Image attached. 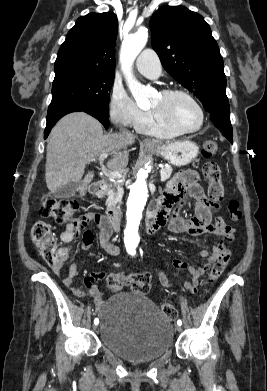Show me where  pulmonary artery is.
<instances>
[{
	"mask_svg": "<svg viewBox=\"0 0 267 391\" xmlns=\"http://www.w3.org/2000/svg\"><path fill=\"white\" fill-rule=\"evenodd\" d=\"M136 68L147 78H158L161 73V63L157 53L152 49L143 50L136 60Z\"/></svg>",
	"mask_w": 267,
	"mask_h": 391,
	"instance_id": "obj_1",
	"label": "pulmonary artery"
}]
</instances>
